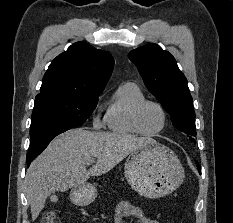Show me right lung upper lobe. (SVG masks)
Here are the masks:
<instances>
[{
    "label": "right lung upper lobe",
    "instance_id": "obj_1",
    "mask_svg": "<svg viewBox=\"0 0 233 223\" xmlns=\"http://www.w3.org/2000/svg\"><path fill=\"white\" fill-rule=\"evenodd\" d=\"M113 65L109 52L76 42L49 65L37 96L51 93L100 95Z\"/></svg>",
    "mask_w": 233,
    "mask_h": 223
}]
</instances>
